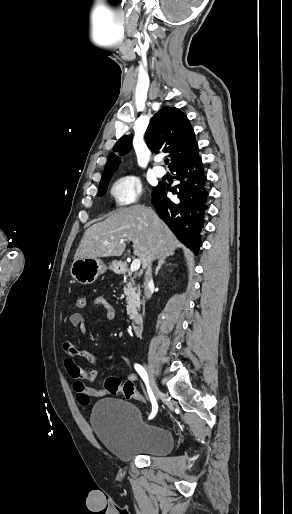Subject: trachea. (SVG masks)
<instances>
[{
    "label": "trachea",
    "mask_w": 292,
    "mask_h": 514,
    "mask_svg": "<svg viewBox=\"0 0 292 514\" xmlns=\"http://www.w3.org/2000/svg\"><path fill=\"white\" fill-rule=\"evenodd\" d=\"M169 163V159H165V164H168Z\"/></svg>",
    "instance_id": "obj_1"
}]
</instances>
